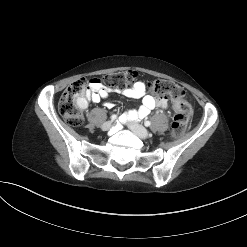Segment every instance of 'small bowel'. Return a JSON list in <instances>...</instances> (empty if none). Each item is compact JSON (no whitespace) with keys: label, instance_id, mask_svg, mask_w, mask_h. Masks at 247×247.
I'll use <instances>...</instances> for the list:
<instances>
[{"label":"small bowel","instance_id":"c3829d8e","mask_svg":"<svg viewBox=\"0 0 247 247\" xmlns=\"http://www.w3.org/2000/svg\"><path fill=\"white\" fill-rule=\"evenodd\" d=\"M120 93L125 97L132 99H141L142 104L138 109H129L126 111L121 121L128 119H143L147 117L150 112L155 108H167L168 99L166 96H152L147 93L146 85L142 81H135L130 87H126L120 90ZM109 89L97 82L96 79H92L89 82V88L87 92V103L91 100L94 103H98L101 100L107 98ZM87 106V104H86ZM107 108H112L113 104L106 102Z\"/></svg>","mask_w":247,"mask_h":247}]
</instances>
